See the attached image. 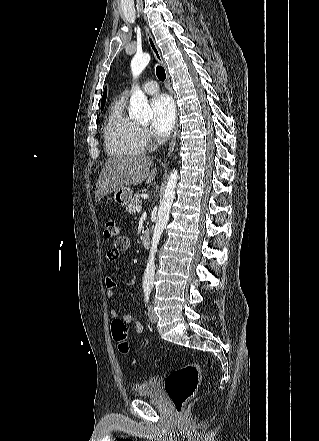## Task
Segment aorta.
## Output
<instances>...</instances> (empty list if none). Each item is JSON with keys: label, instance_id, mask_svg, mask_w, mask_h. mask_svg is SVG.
Masks as SVG:
<instances>
[{"label": "aorta", "instance_id": "aorta-1", "mask_svg": "<svg viewBox=\"0 0 319 441\" xmlns=\"http://www.w3.org/2000/svg\"><path fill=\"white\" fill-rule=\"evenodd\" d=\"M150 62L148 53L136 54L131 61V72L137 78ZM129 116L132 119L148 122L152 119L153 113L142 90L135 86L130 98ZM178 181V171L173 169L168 179L163 198L158 210L157 221L154 227L150 253L143 277V288L153 286L155 274V254L161 235L167 226L170 210L175 198V189Z\"/></svg>", "mask_w": 319, "mask_h": 441}]
</instances>
